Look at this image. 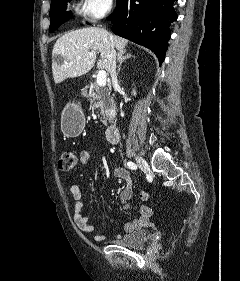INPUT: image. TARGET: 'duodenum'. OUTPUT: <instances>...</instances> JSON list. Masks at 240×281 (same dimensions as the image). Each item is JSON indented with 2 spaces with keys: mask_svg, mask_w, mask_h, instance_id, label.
<instances>
[{
  "mask_svg": "<svg viewBox=\"0 0 240 281\" xmlns=\"http://www.w3.org/2000/svg\"><path fill=\"white\" fill-rule=\"evenodd\" d=\"M106 138L111 143H116L119 141V131L115 125H111L107 128Z\"/></svg>",
  "mask_w": 240,
  "mask_h": 281,
  "instance_id": "duodenum-1",
  "label": "duodenum"
}]
</instances>
